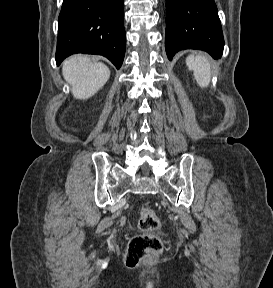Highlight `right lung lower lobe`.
Returning a JSON list of instances; mask_svg holds the SVG:
<instances>
[{"label": "right lung lower lobe", "instance_id": "1", "mask_svg": "<svg viewBox=\"0 0 273 288\" xmlns=\"http://www.w3.org/2000/svg\"><path fill=\"white\" fill-rule=\"evenodd\" d=\"M125 47L123 0H63L57 65L71 54L87 53L103 55L119 69Z\"/></svg>", "mask_w": 273, "mask_h": 288}]
</instances>
